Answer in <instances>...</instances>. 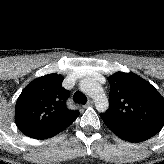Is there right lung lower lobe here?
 <instances>
[{
  "instance_id": "right-lung-lower-lobe-1",
  "label": "right lung lower lobe",
  "mask_w": 164,
  "mask_h": 164,
  "mask_svg": "<svg viewBox=\"0 0 164 164\" xmlns=\"http://www.w3.org/2000/svg\"><path fill=\"white\" fill-rule=\"evenodd\" d=\"M75 118H71L63 123H60L50 129L47 130H43L39 133L34 134L33 136H31V138L34 139H47V138H51L53 136H55L56 134L60 133L61 131H63L64 129H66L68 126H70L76 119Z\"/></svg>"
}]
</instances>
